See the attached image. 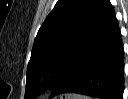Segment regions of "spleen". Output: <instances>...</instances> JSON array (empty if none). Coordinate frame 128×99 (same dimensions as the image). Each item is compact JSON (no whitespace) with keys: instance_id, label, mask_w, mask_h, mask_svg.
<instances>
[{"instance_id":"3e777b00","label":"spleen","mask_w":128,"mask_h":99,"mask_svg":"<svg viewBox=\"0 0 128 99\" xmlns=\"http://www.w3.org/2000/svg\"><path fill=\"white\" fill-rule=\"evenodd\" d=\"M79 99H88V98L84 96H80Z\"/></svg>"}]
</instances>
